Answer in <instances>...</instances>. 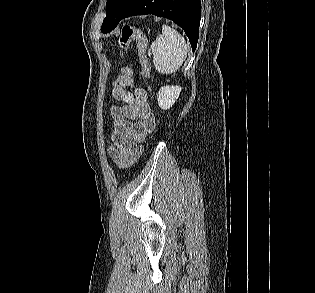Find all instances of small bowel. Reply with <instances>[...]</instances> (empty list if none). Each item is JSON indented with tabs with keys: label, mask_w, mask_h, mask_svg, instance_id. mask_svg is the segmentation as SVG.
<instances>
[{
	"label": "small bowel",
	"mask_w": 315,
	"mask_h": 293,
	"mask_svg": "<svg viewBox=\"0 0 315 293\" xmlns=\"http://www.w3.org/2000/svg\"><path fill=\"white\" fill-rule=\"evenodd\" d=\"M131 86L125 92L112 93L122 103L121 106L110 108L113 129L109 154L119 165H123L133 155L156 125L146 92L143 89L132 90Z\"/></svg>",
	"instance_id": "1"
}]
</instances>
